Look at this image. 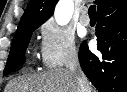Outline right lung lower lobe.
I'll use <instances>...</instances> for the list:
<instances>
[{
	"instance_id": "1",
	"label": "right lung lower lobe",
	"mask_w": 127,
	"mask_h": 92,
	"mask_svg": "<svg viewBox=\"0 0 127 92\" xmlns=\"http://www.w3.org/2000/svg\"><path fill=\"white\" fill-rule=\"evenodd\" d=\"M96 36L99 54L80 46L83 72L100 92H127V5L98 13Z\"/></svg>"
}]
</instances>
